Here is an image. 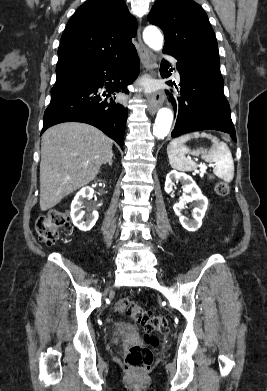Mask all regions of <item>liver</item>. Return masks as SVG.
Here are the masks:
<instances>
[{
    "instance_id": "obj_1",
    "label": "liver",
    "mask_w": 267,
    "mask_h": 391,
    "mask_svg": "<svg viewBox=\"0 0 267 391\" xmlns=\"http://www.w3.org/2000/svg\"><path fill=\"white\" fill-rule=\"evenodd\" d=\"M112 156L111 140L91 125L70 122L49 128L41 140V211L94 180Z\"/></svg>"
}]
</instances>
